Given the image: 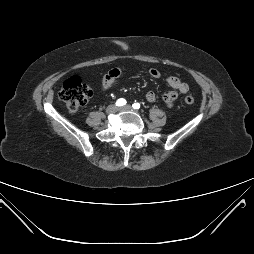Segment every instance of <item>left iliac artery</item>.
<instances>
[{
	"mask_svg": "<svg viewBox=\"0 0 254 254\" xmlns=\"http://www.w3.org/2000/svg\"><path fill=\"white\" fill-rule=\"evenodd\" d=\"M132 107H133L134 109H139V108H140V104H139L138 102H136V103H134V104L132 105Z\"/></svg>",
	"mask_w": 254,
	"mask_h": 254,
	"instance_id": "left-iliac-artery-1",
	"label": "left iliac artery"
}]
</instances>
